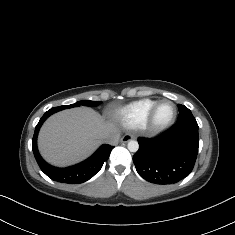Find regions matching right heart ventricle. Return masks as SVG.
Wrapping results in <instances>:
<instances>
[{"instance_id": "1", "label": "right heart ventricle", "mask_w": 235, "mask_h": 235, "mask_svg": "<svg viewBox=\"0 0 235 235\" xmlns=\"http://www.w3.org/2000/svg\"><path fill=\"white\" fill-rule=\"evenodd\" d=\"M157 100L145 98L107 111V117L114 123L127 128H137L147 122L149 113Z\"/></svg>"}]
</instances>
